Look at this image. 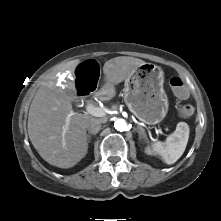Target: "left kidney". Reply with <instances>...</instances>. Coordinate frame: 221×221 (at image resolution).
<instances>
[{"label": "left kidney", "instance_id": "left-kidney-1", "mask_svg": "<svg viewBox=\"0 0 221 221\" xmlns=\"http://www.w3.org/2000/svg\"><path fill=\"white\" fill-rule=\"evenodd\" d=\"M145 153L148 154V155H152V154H153V151L151 150L150 147H146Z\"/></svg>", "mask_w": 221, "mask_h": 221}]
</instances>
